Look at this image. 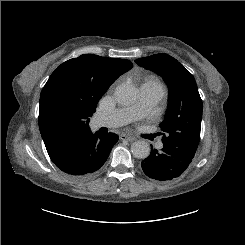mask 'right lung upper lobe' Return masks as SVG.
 <instances>
[{
  "instance_id": "cb5924a9",
  "label": "right lung upper lobe",
  "mask_w": 245,
  "mask_h": 245,
  "mask_svg": "<svg viewBox=\"0 0 245 245\" xmlns=\"http://www.w3.org/2000/svg\"><path fill=\"white\" fill-rule=\"evenodd\" d=\"M132 68L129 60L84 54L62 63L40 95L39 128L51 160L90 132L89 117L110 85Z\"/></svg>"
}]
</instances>
